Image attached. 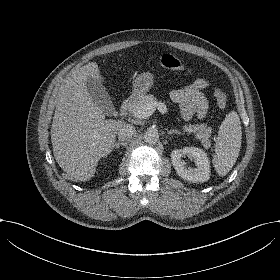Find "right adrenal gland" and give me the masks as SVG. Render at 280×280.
<instances>
[{
  "label": "right adrenal gland",
  "instance_id": "obj_1",
  "mask_svg": "<svg viewBox=\"0 0 280 280\" xmlns=\"http://www.w3.org/2000/svg\"><path fill=\"white\" fill-rule=\"evenodd\" d=\"M119 145L125 146V145H127V142H125V141H120V140L114 141L113 146H114L115 148H118Z\"/></svg>",
  "mask_w": 280,
  "mask_h": 280
}]
</instances>
